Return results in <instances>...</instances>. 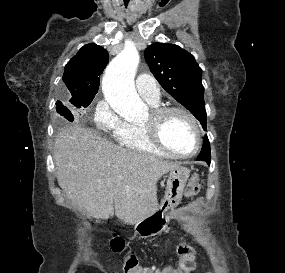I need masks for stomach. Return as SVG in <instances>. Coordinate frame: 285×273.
<instances>
[{"mask_svg":"<svg viewBox=\"0 0 285 273\" xmlns=\"http://www.w3.org/2000/svg\"><path fill=\"white\" fill-rule=\"evenodd\" d=\"M189 175L190 171L186 167L179 166L170 170L165 195L157 210L151 216L136 223L135 228L139 234L154 236L160 232V229L152 228L153 223L162 221L163 226L168 221L166 212L173 210L180 203Z\"/></svg>","mask_w":285,"mask_h":273,"instance_id":"obj_1","label":"stomach"}]
</instances>
